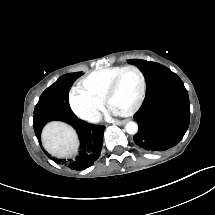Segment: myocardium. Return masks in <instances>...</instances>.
I'll use <instances>...</instances> for the list:
<instances>
[{
	"mask_svg": "<svg viewBox=\"0 0 215 215\" xmlns=\"http://www.w3.org/2000/svg\"><path fill=\"white\" fill-rule=\"evenodd\" d=\"M123 72H131L133 73L136 78H137V85H136V89H135V93H134V97L130 103V107H126V108H119L117 106L113 105V97L115 95V92L117 91L120 83V77H121V73ZM144 77L143 74L141 73V71L133 66V65H125V66H121L119 68H117L116 74L114 75V80L112 81L107 94L104 98V105L107 109V111L111 114H115V115H121V116H127V115H132L134 112H136L139 108H140V103L143 97V93H144Z\"/></svg>",
	"mask_w": 215,
	"mask_h": 215,
	"instance_id": "myocardium-1",
	"label": "myocardium"
}]
</instances>
